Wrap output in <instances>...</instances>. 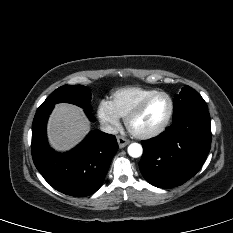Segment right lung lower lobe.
Listing matches in <instances>:
<instances>
[{"instance_id": "98d812e1", "label": "right lung lower lobe", "mask_w": 233, "mask_h": 233, "mask_svg": "<svg viewBox=\"0 0 233 233\" xmlns=\"http://www.w3.org/2000/svg\"><path fill=\"white\" fill-rule=\"evenodd\" d=\"M53 106L39 107L32 125L31 151L34 164L56 190L70 196L85 197L102 185L109 165L118 150L114 135L92 131L67 153L52 150L46 139V122ZM90 120L94 116L86 111Z\"/></svg>"}]
</instances>
